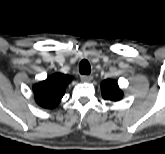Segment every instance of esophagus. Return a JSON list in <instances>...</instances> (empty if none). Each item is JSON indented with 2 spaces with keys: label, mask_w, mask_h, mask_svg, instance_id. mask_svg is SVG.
<instances>
[{
  "label": "esophagus",
  "mask_w": 165,
  "mask_h": 154,
  "mask_svg": "<svg viewBox=\"0 0 165 154\" xmlns=\"http://www.w3.org/2000/svg\"><path fill=\"white\" fill-rule=\"evenodd\" d=\"M80 77H81V80L85 82H89L93 78L91 75H81Z\"/></svg>",
  "instance_id": "1"
}]
</instances>
